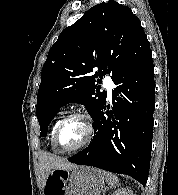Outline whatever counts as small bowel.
<instances>
[{"mask_svg":"<svg viewBox=\"0 0 178 195\" xmlns=\"http://www.w3.org/2000/svg\"><path fill=\"white\" fill-rule=\"evenodd\" d=\"M52 193H58V194H52ZM59 193H60L59 191H58V192H50V191H49V192H48V195H60Z\"/></svg>","mask_w":178,"mask_h":195,"instance_id":"small-bowel-1","label":"small bowel"}]
</instances>
